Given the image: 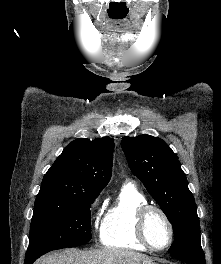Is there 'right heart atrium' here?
Masks as SVG:
<instances>
[{"instance_id":"1","label":"right heart atrium","mask_w":221,"mask_h":264,"mask_svg":"<svg viewBox=\"0 0 221 264\" xmlns=\"http://www.w3.org/2000/svg\"><path fill=\"white\" fill-rule=\"evenodd\" d=\"M90 214H91V220L94 223L96 220H98L99 217V199L95 198L90 203Z\"/></svg>"}]
</instances>
